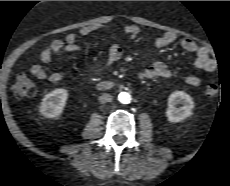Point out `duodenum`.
Masks as SVG:
<instances>
[{
	"mask_svg": "<svg viewBox=\"0 0 230 186\" xmlns=\"http://www.w3.org/2000/svg\"><path fill=\"white\" fill-rule=\"evenodd\" d=\"M113 87V83L110 81H103V82H99L96 85V88L102 91H106L109 90Z\"/></svg>",
	"mask_w": 230,
	"mask_h": 186,
	"instance_id": "obj_1",
	"label": "duodenum"
}]
</instances>
